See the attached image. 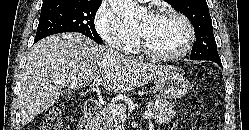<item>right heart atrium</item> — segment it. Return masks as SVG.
I'll use <instances>...</instances> for the list:
<instances>
[{"label":"right heart atrium","mask_w":249,"mask_h":130,"mask_svg":"<svg viewBox=\"0 0 249 130\" xmlns=\"http://www.w3.org/2000/svg\"><path fill=\"white\" fill-rule=\"evenodd\" d=\"M94 28L100 38L111 48L123 53L133 51L137 36L106 3L102 2L95 12Z\"/></svg>","instance_id":"1"}]
</instances>
